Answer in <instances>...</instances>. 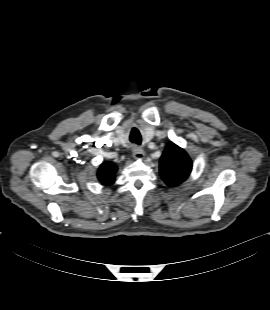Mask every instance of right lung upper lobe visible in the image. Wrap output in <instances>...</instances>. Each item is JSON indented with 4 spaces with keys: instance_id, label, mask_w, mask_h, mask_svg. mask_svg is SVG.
Here are the masks:
<instances>
[{
    "instance_id": "1",
    "label": "right lung upper lobe",
    "mask_w": 270,
    "mask_h": 310,
    "mask_svg": "<svg viewBox=\"0 0 270 310\" xmlns=\"http://www.w3.org/2000/svg\"><path fill=\"white\" fill-rule=\"evenodd\" d=\"M117 167L111 162H104L100 165L97 173L99 181L104 185H111L114 182Z\"/></svg>"
}]
</instances>
